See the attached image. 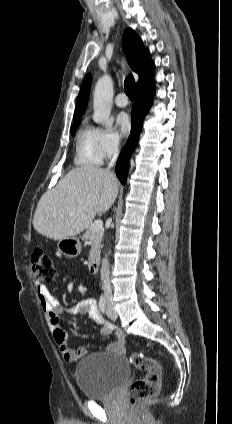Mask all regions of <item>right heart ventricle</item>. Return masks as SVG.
I'll list each match as a JSON object with an SVG mask.
<instances>
[{"mask_svg": "<svg viewBox=\"0 0 232 424\" xmlns=\"http://www.w3.org/2000/svg\"><path fill=\"white\" fill-rule=\"evenodd\" d=\"M99 130L90 124H83L75 138L74 162L78 166H97L102 163L103 156L98 145Z\"/></svg>", "mask_w": 232, "mask_h": 424, "instance_id": "e07e8e85", "label": "right heart ventricle"}]
</instances>
